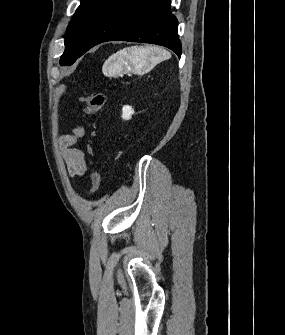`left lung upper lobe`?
<instances>
[{"label": "left lung upper lobe", "mask_w": 285, "mask_h": 335, "mask_svg": "<svg viewBox=\"0 0 285 335\" xmlns=\"http://www.w3.org/2000/svg\"><path fill=\"white\" fill-rule=\"evenodd\" d=\"M111 0H81L74 18L67 27L65 51L60 59V65H71L80 57L81 43L90 26Z\"/></svg>", "instance_id": "1"}]
</instances>
